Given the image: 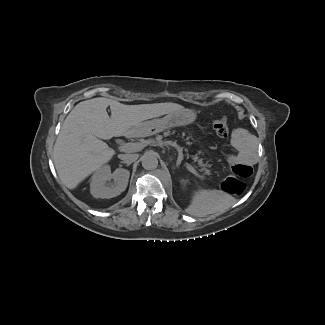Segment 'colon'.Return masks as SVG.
<instances>
[{"instance_id":"5ec220e1","label":"colon","mask_w":325,"mask_h":325,"mask_svg":"<svg viewBox=\"0 0 325 325\" xmlns=\"http://www.w3.org/2000/svg\"><path fill=\"white\" fill-rule=\"evenodd\" d=\"M213 128L216 134L223 139L228 137V125L224 120L213 122ZM252 173V168L245 164H238L233 167L232 174L222 182V189L232 195H239L245 190L244 179Z\"/></svg>"}]
</instances>
